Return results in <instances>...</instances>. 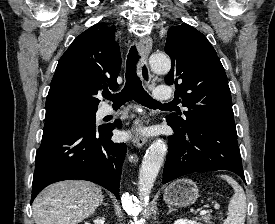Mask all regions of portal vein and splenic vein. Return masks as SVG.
I'll list each match as a JSON object with an SVG mask.
<instances>
[{
    "instance_id": "18ae733b",
    "label": "portal vein and splenic vein",
    "mask_w": 275,
    "mask_h": 224,
    "mask_svg": "<svg viewBox=\"0 0 275 224\" xmlns=\"http://www.w3.org/2000/svg\"><path fill=\"white\" fill-rule=\"evenodd\" d=\"M206 213H207V211L204 210V209L200 211V215H204V214H206Z\"/></svg>"
}]
</instances>
